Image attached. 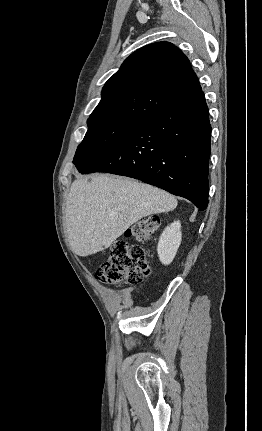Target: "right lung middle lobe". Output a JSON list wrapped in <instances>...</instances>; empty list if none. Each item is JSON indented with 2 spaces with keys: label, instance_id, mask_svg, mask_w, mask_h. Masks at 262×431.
Masks as SVG:
<instances>
[{
  "label": "right lung middle lobe",
  "instance_id": "right-lung-middle-lobe-1",
  "mask_svg": "<svg viewBox=\"0 0 262 431\" xmlns=\"http://www.w3.org/2000/svg\"><path fill=\"white\" fill-rule=\"evenodd\" d=\"M135 124L131 122H109L88 124V131L77 148L74 161L79 172L86 170Z\"/></svg>",
  "mask_w": 262,
  "mask_h": 431
}]
</instances>
